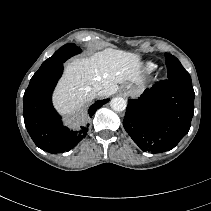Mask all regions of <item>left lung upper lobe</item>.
I'll return each mask as SVG.
<instances>
[{
    "mask_svg": "<svg viewBox=\"0 0 211 211\" xmlns=\"http://www.w3.org/2000/svg\"><path fill=\"white\" fill-rule=\"evenodd\" d=\"M168 79H181L191 81L189 73L184 69L179 60L169 53H165Z\"/></svg>",
    "mask_w": 211,
    "mask_h": 211,
    "instance_id": "1",
    "label": "left lung upper lobe"
}]
</instances>
